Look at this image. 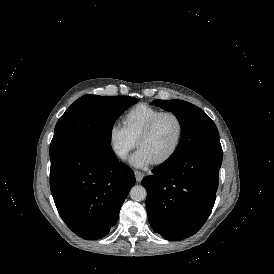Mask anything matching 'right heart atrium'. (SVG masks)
<instances>
[{"instance_id":"1","label":"right heart atrium","mask_w":274,"mask_h":274,"mask_svg":"<svg viewBox=\"0 0 274 274\" xmlns=\"http://www.w3.org/2000/svg\"><path fill=\"white\" fill-rule=\"evenodd\" d=\"M107 141L111 151L120 159H125L135 146V140L129 136L123 126L115 123L108 128Z\"/></svg>"}]
</instances>
